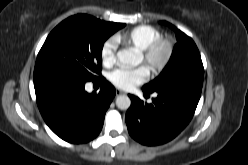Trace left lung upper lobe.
I'll return each mask as SVG.
<instances>
[{
  "label": "left lung upper lobe",
  "mask_w": 248,
  "mask_h": 165,
  "mask_svg": "<svg viewBox=\"0 0 248 165\" xmlns=\"http://www.w3.org/2000/svg\"><path fill=\"white\" fill-rule=\"evenodd\" d=\"M175 31L177 44L172 56L160 73L153 81L144 85L142 89L146 92H155L167 87H197L202 88L204 68L199 50L189 36L178 30L172 24L163 21Z\"/></svg>",
  "instance_id": "5c2ea615"
}]
</instances>
